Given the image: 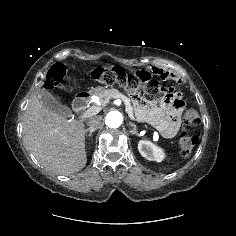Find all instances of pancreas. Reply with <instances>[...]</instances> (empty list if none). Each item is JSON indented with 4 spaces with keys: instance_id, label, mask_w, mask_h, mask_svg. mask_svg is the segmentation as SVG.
Wrapping results in <instances>:
<instances>
[{
    "instance_id": "cf45deb5",
    "label": "pancreas",
    "mask_w": 236,
    "mask_h": 236,
    "mask_svg": "<svg viewBox=\"0 0 236 236\" xmlns=\"http://www.w3.org/2000/svg\"><path fill=\"white\" fill-rule=\"evenodd\" d=\"M98 97L100 98V100L102 102L109 101L110 99H113V98H121L123 101H128L129 102L132 112L135 108L134 105H131L133 100H131L127 96L120 93L117 89L104 90V91H102L101 93L98 94Z\"/></svg>"
}]
</instances>
